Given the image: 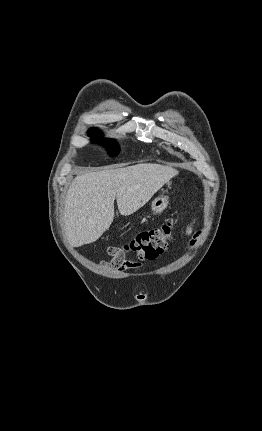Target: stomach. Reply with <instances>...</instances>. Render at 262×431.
I'll return each mask as SVG.
<instances>
[{
	"instance_id": "1",
	"label": "stomach",
	"mask_w": 262,
	"mask_h": 431,
	"mask_svg": "<svg viewBox=\"0 0 262 431\" xmlns=\"http://www.w3.org/2000/svg\"><path fill=\"white\" fill-rule=\"evenodd\" d=\"M168 197L164 195H160L152 201V211L155 214H159L163 212L168 206Z\"/></svg>"
}]
</instances>
